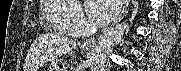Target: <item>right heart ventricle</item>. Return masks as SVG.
Listing matches in <instances>:
<instances>
[{
	"label": "right heart ventricle",
	"mask_w": 181,
	"mask_h": 71,
	"mask_svg": "<svg viewBox=\"0 0 181 71\" xmlns=\"http://www.w3.org/2000/svg\"><path fill=\"white\" fill-rule=\"evenodd\" d=\"M77 7L72 1L45 0L41 5V19L49 29L62 34L76 36L81 31L73 23Z\"/></svg>",
	"instance_id": "obj_1"
}]
</instances>
